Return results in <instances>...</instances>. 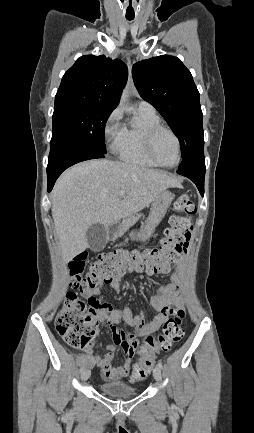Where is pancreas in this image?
<instances>
[{"label": "pancreas", "instance_id": "obj_1", "mask_svg": "<svg viewBox=\"0 0 254 433\" xmlns=\"http://www.w3.org/2000/svg\"><path fill=\"white\" fill-rule=\"evenodd\" d=\"M139 214H132L128 216L127 218H124L122 223L119 225L118 234L122 235L124 232H126L131 226H133L139 219Z\"/></svg>", "mask_w": 254, "mask_h": 433}]
</instances>
